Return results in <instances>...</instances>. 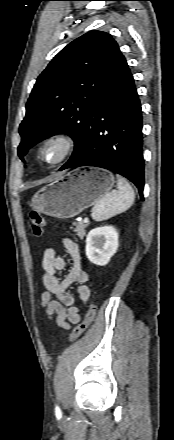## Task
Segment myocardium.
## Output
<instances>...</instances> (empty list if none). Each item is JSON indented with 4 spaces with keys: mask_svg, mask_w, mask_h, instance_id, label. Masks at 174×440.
I'll return each mask as SVG.
<instances>
[{
    "mask_svg": "<svg viewBox=\"0 0 174 440\" xmlns=\"http://www.w3.org/2000/svg\"><path fill=\"white\" fill-rule=\"evenodd\" d=\"M58 145L60 147V154L54 161H47L44 157V152L49 145ZM77 148V141L75 137L65 131H58L47 136L41 143L38 151V157L41 162L49 166H57L67 159H69Z\"/></svg>",
    "mask_w": 174,
    "mask_h": 440,
    "instance_id": "myocardium-1",
    "label": "myocardium"
}]
</instances>
